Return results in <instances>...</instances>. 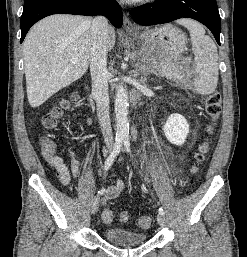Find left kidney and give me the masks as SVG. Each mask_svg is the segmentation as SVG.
Here are the masks:
<instances>
[{
  "label": "left kidney",
  "mask_w": 247,
  "mask_h": 257,
  "mask_svg": "<svg viewBox=\"0 0 247 257\" xmlns=\"http://www.w3.org/2000/svg\"><path fill=\"white\" fill-rule=\"evenodd\" d=\"M164 133L169 142L181 146L189 133V124L182 115L171 114L164 125Z\"/></svg>",
  "instance_id": "1"
}]
</instances>
